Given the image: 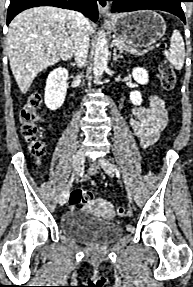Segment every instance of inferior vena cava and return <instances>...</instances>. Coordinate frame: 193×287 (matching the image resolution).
<instances>
[{
    "instance_id": "602c4592",
    "label": "inferior vena cava",
    "mask_w": 193,
    "mask_h": 287,
    "mask_svg": "<svg viewBox=\"0 0 193 287\" xmlns=\"http://www.w3.org/2000/svg\"><path fill=\"white\" fill-rule=\"evenodd\" d=\"M76 25L74 55L76 64L79 67H82L87 61L89 50V20L84 15L77 12Z\"/></svg>"
}]
</instances>
